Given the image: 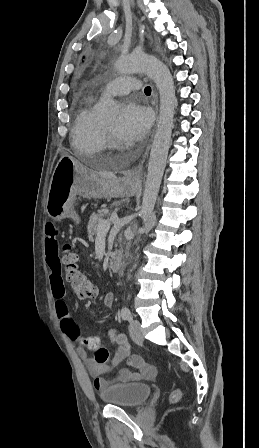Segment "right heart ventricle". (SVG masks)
Segmentation results:
<instances>
[{"instance_id": "obj_1", "label": "right heart ventricle", "mask_w": 259, "mask_h": 448, "mask_svg": "<svg viewBox=\"0 0 259 448\" xmlns=\"http://www.w3.org/2000/svg\"><path fill=\"white\" fill-rule=\"evenodd\" d=\"M94 102L93 94H88L79 101L71 131L74 146L87 152L83 153L81 163H91L89 157L106 148V140L102 132L103 123L93 114Z\"/></svg>"}]
</instances>
